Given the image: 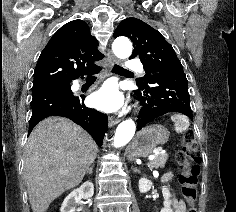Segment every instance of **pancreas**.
<instances>
[{"mask_svg":"<svg viewBox=\"0 0 236 212\" xmlns=\"http://www.w3.org/2000/svg\"><path fill=\"white\" fill-rule=\"evenodd\" d=\"M167 161L166 155H157L149 164L150 168H163Z\"/></svg>","mask_w":236,"mask_h":212,"instance_id":"obj_1","label":"pancreas"}]
</instances>
